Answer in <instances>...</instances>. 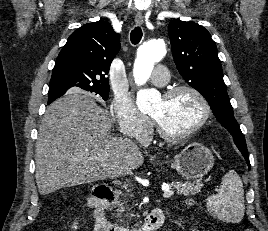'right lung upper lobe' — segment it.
<instances>
[{
  "instance_id": "obj_1",
  "label": "right lung upper lobe",
  "mask_w": 268,
  "mask_h": 231,
  "mask_svg": "<svg viewBox=\"0 0 268 231\" xmlns=\"http://www.w3.org/2000/svg\"><path fill=\"white\" fill-rule=\"evenodd\" d=\"M119 49V34L110 23L97 21L83 25L69 36L59 53L49 89L109 90L107 75ZM60 96L50 95L48 104Z\"/></svg>"
}]
</instances>
